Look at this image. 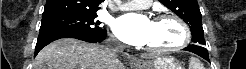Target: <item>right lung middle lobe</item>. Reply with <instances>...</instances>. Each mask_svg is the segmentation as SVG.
Instances as JSON below:
<instances>
[{"label":"right lung middle lobe","instance_id":"1","mask_svg":"<svg viewBox=\"0 0 246 69\" xmlns=\"http://www.w3.org/2000/svg\"><path fill=\"white\" fill-rule=\"evenodd\" d=\"M97 14H58L42 17L40 31L76 30L95 33L100 31Z\"/></svg>","mask_w":246,"mask_h":69}]
</instances>
